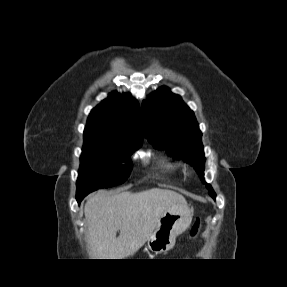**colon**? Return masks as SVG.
Returning <instances> with one entry per match:
<instances>
[{"label": "colon", "mask_w": 287, "mask_h": 287, "mask_svg": "<svg viewBox=\"0 0 287 287\" xmlns=\"http://www.w3.org/2000/svg\"><path fill=\"white\" fill-rule=\"evenodd\" d=\"M199 230H200V219L197 218L194 226L191 229V236L192 237H196L198 235V233H199Z\"/></svg>", "instance_id": "1"}]
</instances>
